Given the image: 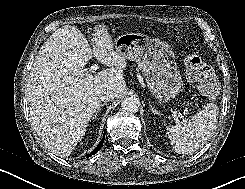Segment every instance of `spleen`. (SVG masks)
Segmentation results:
<instances>
[{"mask_svg":"<svg viewBox=\"0 0 245 189\" xmlns=\"http://www.w3.org/2000/svg\"><path fill=\"white\" fill-rule=\"evenodd\" d=\"M218 114V106L208 103L191 119L169 126L168 136L174 151L179 154H190L200 149L211 137Z\"/></svg>","mask_w":245,"mask_h":189,"instance_id":"1","label":"spleen"}]
</instances>
